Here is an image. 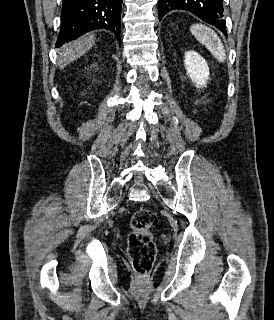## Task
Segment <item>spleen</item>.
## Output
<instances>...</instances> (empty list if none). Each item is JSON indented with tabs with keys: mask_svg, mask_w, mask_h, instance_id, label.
I'll use <instances>...</instances> for the list:
<instances>
[{
	"mask_svg": "<svg viewBox=\"0 0 274 320\" xmlns=\"http://www.w3.org/2000/svg\"><path fill=\"white\" fill-rule=\"evenodd\" d=\"M190 30L196 40H198L200 44H203V46H206L207 50L211 52L217 62H225L226 54L224 46L214 30H210V28L203 26V24H193Z\"/></svg>",
	"mask_w": 274,
	"mask_h": 320,
	"instance_id": "3e777b00",
	"label": "spleen"
}]
</instances>
